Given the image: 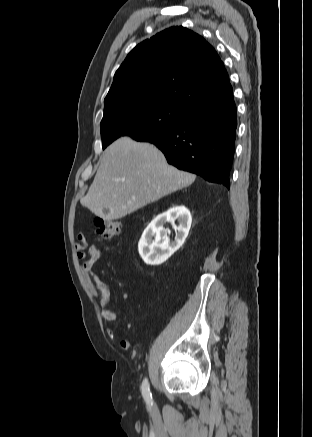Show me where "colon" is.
Here are the masks:
<instances>
[{
  "label": "colon",
  "mask_w": 312,
  "mask_h": 437,
  "mask_svg": "<svg viewBox=\"0 0 312 437\" xmlns=\"http://www.w3.org/2000/svg\"><path fill=\"white\" fill-rule=\"evenodd\" d=\"M121 225L118 221L107 220L104 218L95 219V235L99 238L109 239L120 233Z\"/></svg>",
  "instance_id": "colon-1"
}]
</instances>
